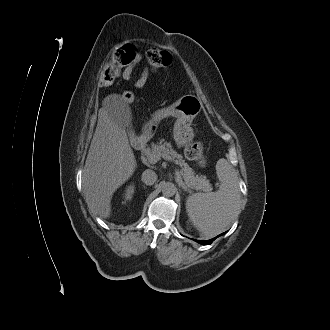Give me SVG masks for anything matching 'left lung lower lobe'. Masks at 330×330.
Returning a JSON list of instances; mask_svg holds the SVG:
<instances>
[{
	"instance_id": "left-lung-lower-lobe-1",
	"label": "left lung lower lobe",
	"mask_w": 330,
	"mask_h": 330,
	"mask_svg": "<svg viewBox=\"0 0 330 330\" xmlns=\"http://www.w3.org/2000/svg\"><path fill=\"white\" fill-rule=\"evenodd\" d=\"M222 235V234H221ZM220 235H218L217 237H219ZM217 237L211 239V240H195L196 242L200 243V244H204V245H209L211 244Z\"/></svg>"
}]
</instances>
